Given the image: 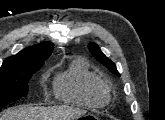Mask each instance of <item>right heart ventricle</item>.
Wrapping results in <instances>:
<instances>
[{
	"label": "right heart ventricle",
	"instance_id": "right-heart-ventricle-1",
	"mask_svg": "<svg viewBox=\"0 0 165 120\" xmlns=\"http://www.w3.org/2000/svg\"><path fill=\"white\" fill-rule=\"evenodd\" d=\"M54 91L60 100L90 107L103 106L110 97L107 83L81 58L57 74Z\"/></svg>",
	"mask_w": 165,
	"mask_h": 120
}]
</instances>
